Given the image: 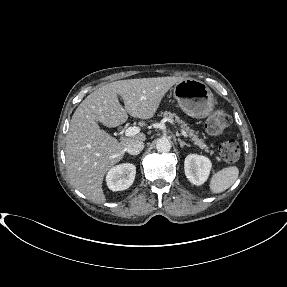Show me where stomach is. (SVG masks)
Instances as JSON below:
<instances>
[{
    "label": "stomach",
    "instance_id": "stomach-1",
    "mask_svg": "<svg viewBox=\"0 0 287 287\" xmlns=\"http://www.w3.org/2000/svg\"><path fill=\"white\" fill-rule=\"evenodd\" d=\"M180 108L194 118L207 117L214 108V95L205 83L196 79H184L173 88Z\"/></svg>",
    "mask_w": 287,
    "mask_h": 287
}]
</instances>
